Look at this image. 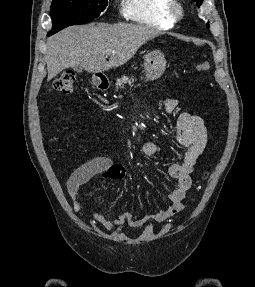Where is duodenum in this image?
<instances>
[{
  "label": "duodenum",
  "instance_id": "1",
  "mask_svg": "<svg viewBox=\"0 0 255 287\" xmlns=\"http://www.w3.org/2000/svg\"><path fill=\"white\" fill-rule=\"evenodd\" d=\"M95 86L99 89V90H105L108 88L109 83L107 80L105 79H96L95 81Z\"/></svg>",
  "mask_w": 255,
  "mask_h": 287
}]
</instances>
